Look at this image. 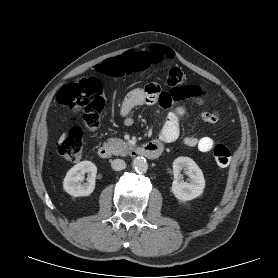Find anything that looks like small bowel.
<instances>
[{"label":"small bowel","mask_w":278,"mask_h":278,"mask_svg":"<svg viewBox=\"0 0 278 278\" xmlns=\"http://www.w3.org/2000/svg\"><path fill=\"white\" fill-rule=\"evenodd\" d=\"M179 100L173 92H163L157 83H150L145 88H137L132 90L124 98L120 107V116L126 126L133 124L134 120L131 116L132 110L137 106L152 105L157 102L163 106H170L174 101ZM184 107H177L170 111L166 117L164 125L159 133V141L162 143H171L175 141L180 134V122L185 115ZM199 118L204 122L216 123L220 116L215 110L202 111ZM185 145L196 148L201 152H210L215 141L208 136L195 137L187 136L184 138Z\"/></svg>","instance_id":"c3829d8e"}]
</instances>
